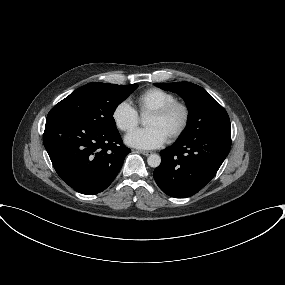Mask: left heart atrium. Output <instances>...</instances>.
I'll return each mask as SVG.
<instances>
[{"label": "left heart atrium", "instance_id": "left-heart-atrium-1", "mask_svg": "<svg viewBox=\"0 0 285 285\" xmlns=\"http://www.w3.org/2000/svg\"><path fill=\"white\" fill-rule=\"evenodd\" d=\"M166 139V135L158 127L149 126L130 132L126 135L125 142L138 149H155L163 145Z\"/></svg>", "mask_w": 285, "mask_h": 285}]
</instances>
